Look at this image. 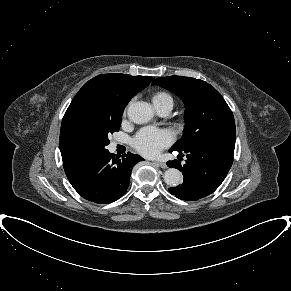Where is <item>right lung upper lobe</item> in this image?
I'll use <instances>...</instances> for the list:
<instances>
[{"label": "right lung upper lobe", "mask_w": 291, "mask_h": 291, "mask_svg": "<svg viewBox=\"0 0 291 291\" xmlns=\"http://www.w3.org/2000/svg\"><path fill=\"white\" fill-rule=\"evenodd\" d=\"M153 80L148 76H130L127 74H102L86 82L75 95L62 120V127L79 110L88 106L110 105L122 111L139 91ZM63 166L67 177L72 176L89 161L80 160L60 145Z\"/></svg>", "instance_id": "obj_1"}]
</instances>
